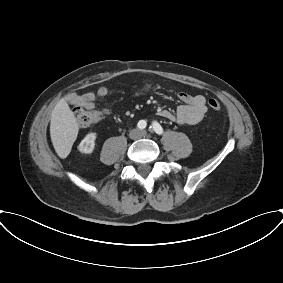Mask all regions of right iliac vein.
<instances>
[{"label":"right iliac vein","instance_id":"right-iliac-vein-1","mask_svg":"<svg viewBox=\"0 0 283 283\" xmlns=\"http://www.w3.org/2000/svg\"><path fill=\"white\" fill-rule=\"evenodd\" d=\"M129 137L132 140H137L140 138V132L137 129H134L129 133Z\"/></svg>","mask_w":283,"mask_h":283}]
</instances>
